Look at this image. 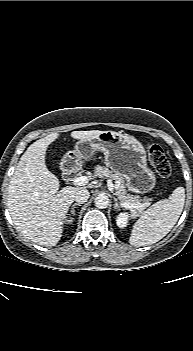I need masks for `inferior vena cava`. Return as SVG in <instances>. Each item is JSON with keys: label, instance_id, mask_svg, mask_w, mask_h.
<instances>
[{"label": "inferior vena cava", "instance_id": "inferior-vena-cava-1", "mask_svg": "<svg viewBox=\"0 0 193 351\" xmlns=\"http://www.w3.org/2000/svg\"><path fill=\"white\" fill-rule=\"evenodd\" d=\"M90 193L87 189H80L76 192L75 196H74V200L77 203H85L88 199H89Z\"/></svg>", "mask_w": 193, "mask_h": 351}]
</instances>
